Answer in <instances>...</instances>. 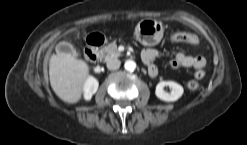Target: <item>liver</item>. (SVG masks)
I'll list each match as a JSON object with an SVG mask.
<instances>
[{"label":"liver","instance_id":"6515ba94","mask_svg":"<svg viewBox=\"0 0 247 145\" xmlns=\"http://www.w3.org/2000/svg\"><path fill=\"white\" fill-rule=\"evenodd\" d=\"M89 71L87 62L67 55L52 54L49 60L51 87L61 100L70 104L81 99Z\"/></svg>","mask_w":247,"mask_h":145}]
</instances>
